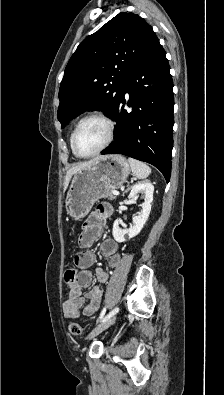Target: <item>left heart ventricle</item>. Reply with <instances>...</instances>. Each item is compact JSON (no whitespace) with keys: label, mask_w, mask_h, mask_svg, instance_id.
I'll return each instance as SVG.
<instances>
[{"label":"left heart ventricle","mask_w":224,"mask_h":395,"mask_svg":"<svg viewBox=\"0 0 224 395\" xmlns=\"http://www.w3.org/2000/svg\"><path fill=\"white\" fill-rule=\"evenodd\" d=\"M107 138L106 125L96 119L86 121L77 134L76 146L79 153L86 155L97 150Z\"/></svg>","instance_id":"obj_1"}]
</instances>
